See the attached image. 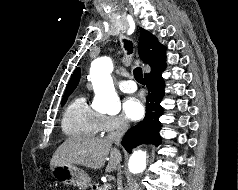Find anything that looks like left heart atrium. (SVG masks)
<instances>
[{
    "label": "left heart atrium",
    "instance_id": "left-heart-atrium-1",
    "mask_svg": "<svg viewBox=\"0 0 238 190\" xmlns=\"http://www.w3.org/2000/svg\"><path fill=\"white\" fill-rule=\"evenodd\" d=\"M126 116L131 120H139L144 115V106L136 97H129L123 103Z\"/></svg>",
    "mask_w": 238,
    "mask_h": 190
}]
</instances>
